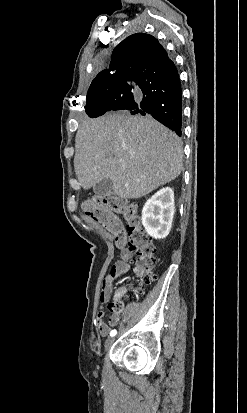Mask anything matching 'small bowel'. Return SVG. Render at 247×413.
<instances>
[{
  "label": "small bowel",
  "mask_w": 247,
  "mask_h": 413,
  "mask_svg": "<svg viewBox=\"0 0 247 413\" xmlns=\"http://www.w3.org/2000/svg\"><path fill=\"white\" fill-rule=\"evenodd\" d=\"M132 255L128 250H123L119 258L112 264L108 275L105 277L102 289L100 292V306L103 307L110 299L113 292V284L116 279L124 276L131 268ZM120 321L117 314H113L109 318V322L104 321V313L100 311L97 315L96 330L100 336H107L110 333V328L116 326Z\"/></svg>",
  "instance_id": "small-bowel-1"
}]
</instances>
